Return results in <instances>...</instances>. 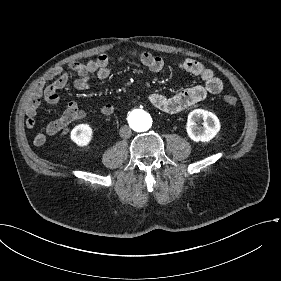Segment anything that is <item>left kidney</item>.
Listing matches in <instances>:
<instances>
[{"instance_id": "left-kidney-1", "label": "left kidney", "mask_w": 281, "mask_h": 281, "mask_svg": "<svg viewBox=\"0 0 281 281\" xmlns=\"http://www.w3.org/2000/svg\"><path fill=\"white\" fill-rule=\"evenodd\" d=\"M201 119L203 123L199 126ZM186 130L193 141L207 142L219 132L220 122L215 114L204 109H195L188 115Z\"/></svg>"}]
</instances>
